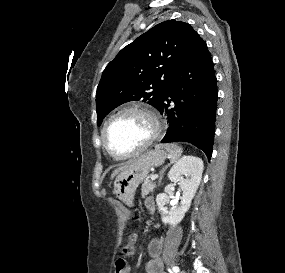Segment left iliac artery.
Returning <instances> with one entry per match:
<instances>
[{
	"mask_svg": "<svg viewBox=\"0 0 285 273\" xmlns=\"http://www.w3.org/2000/svg\"><path fill=\"white\" fill-rule=\"evenodd\" d=\"M172 271H173L174 273H178V272H179V267H178V266H173V267H172Z\"/></svg>",
	"mask_w": 285,
	"mask_h": 273,
	"instance_id": "1",
	"label": "left iliac artery"
}]
</instances>
